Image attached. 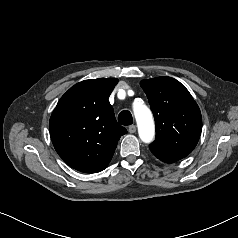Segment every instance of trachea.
I'll use <instances>...</instances> for the list:
<instances>
[{
  "label": "trachea",
  "mask_w": 238,
  "mask_h": 238,
  "mask_svg": "<svg viewBox=\"0 0 238 238\" xmlns=\"http://www.w3.org/2000/svg\"><path fill=\"white\" fill-rule=\"evenodd\" d=\"M118 122L121 125H131L133 123V118L131 113L128 110H123L122 112H120L119 116H118Z\"/></svg>",
  "instance_id": "obj_1"
}]
</instances>
